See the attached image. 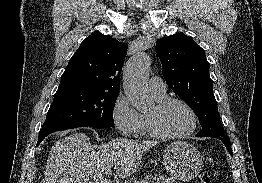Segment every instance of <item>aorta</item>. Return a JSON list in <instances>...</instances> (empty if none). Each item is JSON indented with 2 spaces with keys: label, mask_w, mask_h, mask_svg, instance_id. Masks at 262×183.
<instances>
[{
  "label": "aorta",
  "mask_w": 262,
  "mask_h": 183,
  "mask_svg": "<svg viewBox=\"0 0 262 183\" xmlns=\"http://www.w3.org/2000/svg\"><path fill=\"white\" fill-rule=\"evenodd\" d=\"M149 69V56L140 52L127 62L123 72L124 92L132 106L140 112L149 109L153 103L146 82Z\"/></svg>",
  "instance_id": "aorta-1"
}]
</instances>
